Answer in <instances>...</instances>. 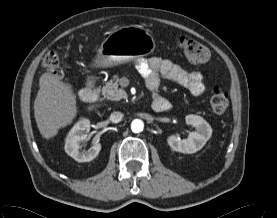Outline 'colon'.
<instances>
[{"label": "colon", "mask_w": 277, "mask_h": 218, "mask_svg": "<svg viewBox=\"0 0 277 218\" xmlns=\"http://www.w3.org/2000/svg\"><path fill=\"white\" fill-rule=\"evenodd\" d=\"M178 46L187 61L191 64H203L209 59L208 48L193 39L181 37L178 40ZM42 64L45 70L56 78L63 77V70L61 68L60 58L57 52H48L44 56ZM228 103V92L224 88L216 87L210 98L211 110L216 114H221L226 111Z\"/></svg>", "instance_id": "1"}]
</instances>
